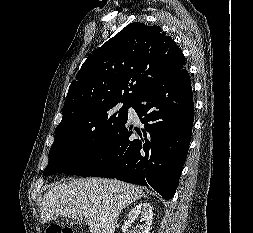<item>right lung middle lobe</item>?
<instances>
[{"instance_id":"dd1d6c3e","label":"right lung middle lobe","mask_w":253,"mask_h":233,"mask_svg":"<svg viewBox=\"0 0 253 233\" xmlns=\"http://www.w3.org/2000/svg\"><path fill=\"white\" fill-rule=\"evenodd\" d=\"M119 103H123L121 108ZM132 103L123 99L100 101L63 117L56 128L44 176L62 172L104 146L128 118Z\"/></svg>"}]
</instances>
